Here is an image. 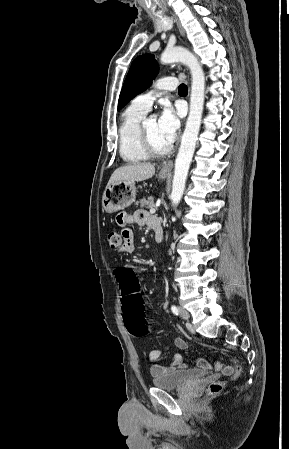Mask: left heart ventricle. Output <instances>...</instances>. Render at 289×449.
<instances>
[{"label":"left heart ventricle","instance_id":"b2bd125f","mask_svg":"<svg viewBox=\"0 0 289 449\" xmlns=\"http://www.w3.org/2000/svg\"><path fill=\"white\" fill-rule=\"evenodd\" d=\"M147 128L151 142L156 150L163 151L171 145L160 131L157 118H149Z\"/></svg>","mask_w":289,"mask_h":449}]
</instances>
